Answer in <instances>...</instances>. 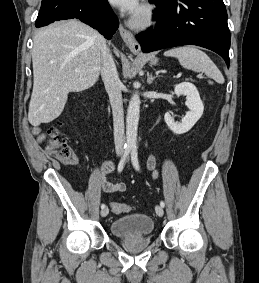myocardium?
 Listing matches in <instances>:
<instances>
[{"label": "myocardium", "instance_id": "obj_1", "mask_svg": "<svg viewBox=\"0 0 259 283\" xmlns=\"http://www.w3.org/2000/svg\"><path fill=\"white\" fill-rule=\"evenodd\" d=\"M154 11L151 6L143 5L139 12L131 19L130 25L135 29H146L152 25Z\"/></svg>", "mask_w": 259, "mask_h": 283}]
</instances>
